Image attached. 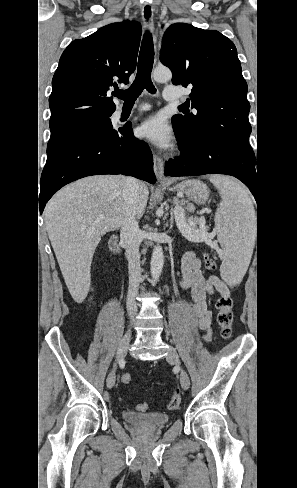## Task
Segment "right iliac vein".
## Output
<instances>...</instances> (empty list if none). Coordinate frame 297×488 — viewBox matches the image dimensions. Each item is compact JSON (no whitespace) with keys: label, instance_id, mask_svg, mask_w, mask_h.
<instances>
[{"label":"right iliac vein","instance_id":"1","mask_svg":"<svg viewBox=\"0 0 297 488\" xmlns=\"http://www.w3.org/2000/svg\"><path fill=\"white\" fill-rule=\"evenodd\" d=\"M131 335H132V331H131V329H128V331L122 337V339L118 345V348H117V361L121 360L126 355L128 348H129V344H130ZM115 370H116V368L114 367V369L110 372V374L108 375L107 380H106V385L109 389H111L114 386L115 381H116Z\"/></svg>","mask_w":297,"mask_h":488}]
</instances>
